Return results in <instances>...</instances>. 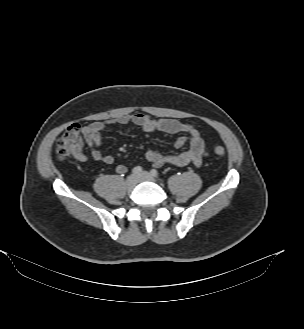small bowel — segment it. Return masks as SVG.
Segmentation results:
<instances>
[{"label": "small bowel", "instance_id": "obj_1", "mask_svg": "<svg viewBox=\"0 0 304 329\" xmlns=\"http://www.w3.org/2000/svg\"><path fill=\"white\" fill-rule=\"evenodd\" d=\"M129 123L135 124L145 132L160 131L169 134H187V136H180L176 140L177 148L183 147L189 141V149L186 151L176 154L161 153L152 149L146 151V159L157 167L163 165L185 166L190 163L199 166L207 155L206 144L200 132L193 124L182 123L175 119L155 118L145 113H134L131 115H122L112 120L93 122L82 128L92 159L107 165L113 164L114 157L103 154L99 150L102 132L109 125L124 126ZM77 158L84 162L88 159V156L80 154ZM116 170L119 174H123L126 172V167L124 165H118Z\"/></svg>", "mask_w": 304, "mask_h": 329}]
</instances>
